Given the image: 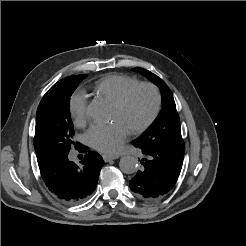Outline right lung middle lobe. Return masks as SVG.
I'll list each match as a JSON object with an SVG mask.
<instances>
[{"label": "right lung middle lobe", "mask_w": 246, "mask_h": 246, "mask_svg": "<svg viewBox=\"0 0 246 246\" xmlns=\"http://www.w3.org/2000/svg\"><path fill=\"white\" fill-rule=\"evenodd\" d=\"M86 74L69 76L55 83L43 96L36 115L34 147L41 161L66 155L73 141V123L69 101Z\"/></svg>", "instance_id": "1"}]
</instances>
